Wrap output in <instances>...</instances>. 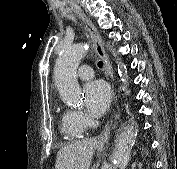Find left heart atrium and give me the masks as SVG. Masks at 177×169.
<instances>
[{
	"label": "left heart atrium",
	"instance_id": "obj_1",
	"mask_svg": "<svg viewBox=\"0 0 177 169\" xmlns=\"http://www.w3.org/2000/svg\"><path fill=\"white\" fill-rule=\"evenodd\" d=\"M85 106L93 116L102 115L109 107L111 91L107 83L93 80L84 86Z\"/></svg>",
	"mask_w": 177,
	"mask_h": 169
}]
</instances>
